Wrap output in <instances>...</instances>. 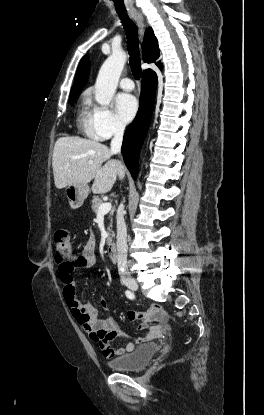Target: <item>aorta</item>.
<instances>
[{"label": "aorta", "mask_w": 264, "mask_h": 415, "mask_svg": "<svg viewBox=\"0 0 264 415\" xmlns=\"http://www.w3.org/2000/svg\"><path fill=\"white\" fill-rule=\"evenodd\" d=\"M126 59L124 51H113L101 66L95 83V100L100 105H108L111 102Z\"/></svg>", "instance_id": "1"}]
</instances>
